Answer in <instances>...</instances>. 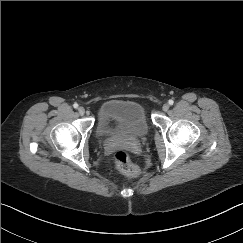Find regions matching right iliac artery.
Instances as JSON below:
<instances>
[{
  "instance_id": "1",
  "label": "right iliac artery",
  "mask_w": 243,
  "mask_h": 243,
  "mask_svg": "<svg viewBox=\"0 0 243 243\" xmlns=\"http://www.w3.org/2000/svg\"><path fill=\"white\" fill-rule=\"evenodd\" d=\"M73 107H74V108H78V104H77V103H74V104H73Z\"/></svg>"
}]
</instances>
